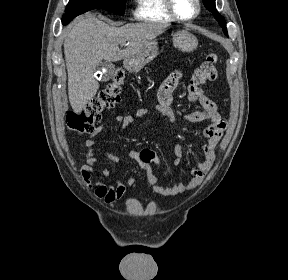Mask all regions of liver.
Masks as SVG:
<instances>
[{
    "label": "liver",
    "instance_id": "1",
    "mask_svg": "<svg viewBox=\"0 0 288 280\" xmlns=\"http://www.w3.org/2000/svg\"><path fill=\"white\" fill-rule=\"evenodd\" d=\"M167 23H129L115 27L93 14L79 17L64 41L68 72V96L75 113H80L97 93L95 68L102 60L116 62L137 54L149 41L165 32ZM128 41L125 49L119 44Z\"/></svg>",
    "mask_w": 288,
    "mask_h": 280
}]
</instances>
